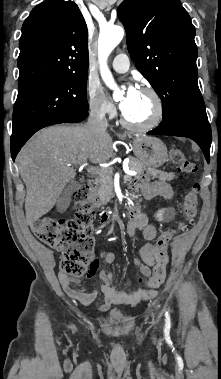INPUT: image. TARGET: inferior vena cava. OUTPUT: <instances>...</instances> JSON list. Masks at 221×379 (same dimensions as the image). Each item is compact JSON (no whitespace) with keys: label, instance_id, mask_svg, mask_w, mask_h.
Segmentation results:
<instances>
[{"label":"inferior vena cava","instance_id":"602c4592","mask_svg":"<svg viewBox=\"0 0 221 379\" xmlns=\"http://www.w3.org/2000/svg\"><path fill=\"white\" fill-rule=\"evenodd\" d=\"M108 127L106 110L102 106H92L85 128L94 132H104Z\"/></svg>","mask_w":221,"mask_h":379}]
</instances>
